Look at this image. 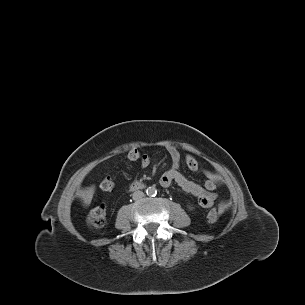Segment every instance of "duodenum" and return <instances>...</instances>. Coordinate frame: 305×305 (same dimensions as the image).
<instances>
[{
    "label": "duodenum",
    "mask_w": 305,
    "mask_h": 305,
    "mask_svg": "<svg viewBox=\"0 0 305 305\" xmlns=\"http://www.w3.org/2000/svg\"><path fill=\"white\" fill-rule=\"evenodd\" d=\"M145 187V183L142 182V181H133L131 184H130V189L131 190H140V189H143Z\"/></svg>",
    "instance_id": "duodenum-1"
}]
</instances>
